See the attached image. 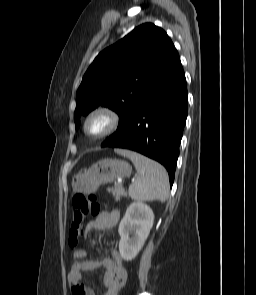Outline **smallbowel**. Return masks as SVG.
<instances>
[{
    "mask_svg": "<svg viewBox=\"0 0 256 295\" xmlns=\"http://www.w3.org/2000/svg\"><path fill=\"white\" fill-rule=\"evenodd\" d=\"M120 219L117 210L104 211L96 219L89 222L85 229V238H88L93 231L113 229ZM88 253L85 249L74 252V262L71 265L67 279L73 295H95L92 288L83 283V273L104 268L103 284L104 295H118L119 290L127 279V271L123 266L122 258L118 251H113V258H101L86 260Z\"/></svg>",
    "mask_w": 256,
    "mask_h": 295,
    "instance_id": "1",
    "label": "small bowel"
}]
</instances>
